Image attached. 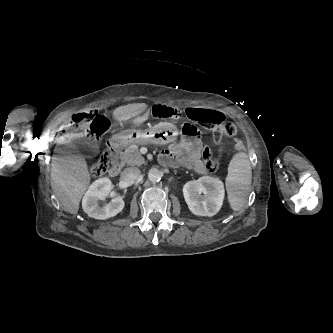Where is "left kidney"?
I'll list each match as a JSON object with an SVG mask.
<instances>
[{
  "label": "left kidney",
  "mask_w": 333,
  "mask_h": 333,
  "mask_svg": "<svg viewBox=\"0 0 333 333\" xmlns=\"http://www.w3.org/2000/svg\"><path fill=\"white\" fill-rule=\"evenodd\" d=\"M183 194L193 214L211 217L220 210L225 190L220 179L204 176L187 182Z\"/></svg>",
  "instance_id": "obj_1"
}]
</instances>
